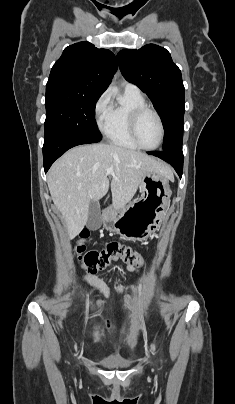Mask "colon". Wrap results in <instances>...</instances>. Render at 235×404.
Masks as SVG:
<instances>
[{"label":"colon","instance_id":"colon-1","mask_svg":"<svg viewBox=\"0 0 235 404\" xmlns=\"http://www.w3.org/2000/svg\"><path fill=\"white\" fill-rule=\"evenodd\" d=\"M89 237V231L83 229L75 244V255L81 266L90 274L108 268L113 261L122 260L129 265L142 266L144 258L117 241L109 242L104 248L86 250L85 242Z\"/></svg>","mask_w":235,"mask_h":404}]
</instances>
